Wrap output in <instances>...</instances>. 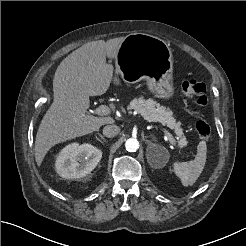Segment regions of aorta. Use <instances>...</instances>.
Here are the masks:
<instances>
[{
	"label": "aorta",
	"mask_w": 246,
	"mask_h": 246,
	"mask_svg": "<svg viewBox=\"0 0 246 246\" xmlns=\"http://www.w3.org/2000/svg\"><path fill=\"white\" fill-rule=\"evenodd\" d=\"M125 147L128 152H136L139 148V141L136 138H129L125 142Z\"/></svg>",
	"instance_id": "762f6f07"
}]
</instances>
